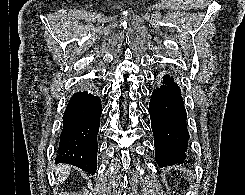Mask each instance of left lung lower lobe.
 I'll return each instance as SVG.
<instances>
[{
    "label": "left lung lower lobe",
    "mask_w": 245,
    "mask_h": 195,
    "mask_svg": "<svg viewBox=\"0 0 245 195\" xmlns=\"http://www.w3.org/2000/svg\"><path fill=\"white\" fill-rule=\"evenodd\" d=\"M149 114L158 165L183 163L189 134L181 91L173 76L163 75L161 85L153 90Z\"/></svg>",
    "instance_id": "1"
}]
</instances>
